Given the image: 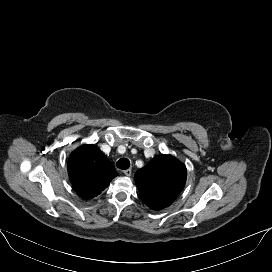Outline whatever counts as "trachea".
<instances>
[{
	"instance_id": "1",
	"label": "trachea",
	"mask_w": 272,
	"mask_h": 272,
	"mask_svg": "<svg viewBox=\"0 0 272 272\" xmlns=\"http://www.w3.org/2000/svg\"><path fill=\"white\" fill-rule=\"evenodd\" d=\"M116 166L121 170H126L130 167V161L127 158H121L117 161Z\"/></svg>"
}]
</instances>
